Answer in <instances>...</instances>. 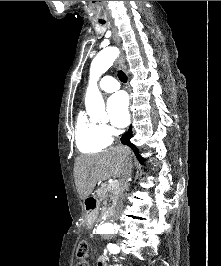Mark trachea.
<instances>
[{
	"label": "trachea",
	"mask_w": 221,
	"mask_h": 266,
	"mask_svg": "<svg viewBox=\"0 0 221 266\" xmlns=\"http://www.w3.org/2000/svg\"><path fill=\"white\" fill-rule=\"evenodd\" d=\"M100 23L101 24H105V21H100ZM118 78L122 81V82H124V83H126L127 82V76L125 75V73L123 72V71H118Z\"/></svg>",
	"instance_id": "1"
}]
</instances>
